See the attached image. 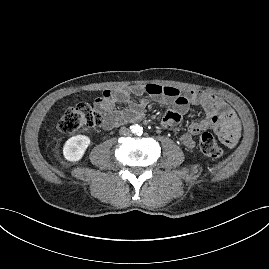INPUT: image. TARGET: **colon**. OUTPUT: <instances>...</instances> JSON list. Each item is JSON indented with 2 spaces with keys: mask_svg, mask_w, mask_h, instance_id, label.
<instances>
[{
  "mask_svg": "<svg viewBox=\"0 0 269 269\" xmlns=\"http://www.w3.org/2000/svg\"><path fill=\"white\" fill-rule=\"evenodd\" d=\"M103 123V116L95 104L81 103L68 107L62 114L58 128L63 133H73L83 128L98 127ZM200 151L213 161L223 158V150L210 133H203L199 139Z\"/></svg>",
  "mask_w": 269,
  "mask_h": 269,
  "instance_id": "1",
  "label": "colon"
}]
</instances>
